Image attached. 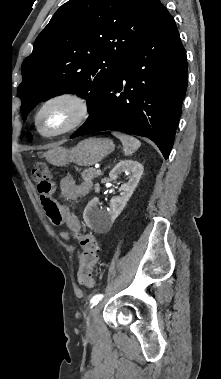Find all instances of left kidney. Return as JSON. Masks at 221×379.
Masks as SVG:
<instances>
[{"label":"left kidney","instance_id":"left-kidney-1","mask_svg":"<svg viewBox=\"0 0 221 379\" xmlns=\"http://www.w3.org/2000/svg\"><path fill=\"white\" fill-rule=\"evenodd\" d=\"M122 172L130 174L129 180L127 183L121 185L119 189L120 195L110 200V207L107 210L98 209L97 206L100 204L98 199L91 200L86 206L83 218L90 228L101 230L113 224L137 187L143 174V166L137 161L123 160L111 170L109 177L111 180L116 181L118 175Z\"/></svg>","mask_w":221,"mask_h":379}]
</instances>
